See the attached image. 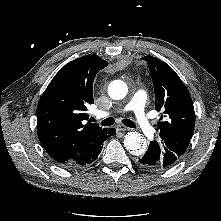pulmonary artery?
Masks as SVG:
<instances>
[{
    "mask_svg": "<svg viewBox=\"0 0 221 221\" xmlns=\"http://www.w3.org/2000/svg\"><path fill=\"white\" fill-rule=\"evenodd\" d=\"M147 100V95L144 90H138L134 96L131 98L129 103L124 107L123 111H132L135 115V120L141 129V131L146 135L150 136L154 132L151 120L145 111V104ZM110 113L101 112V117H106Z\"/></svg>",
    "mask_w": 221,
    "mask_h": 221,
    "instance_id": "e3ab8cb5",
    "label": "pulmonary artery"
}]
</instances>
